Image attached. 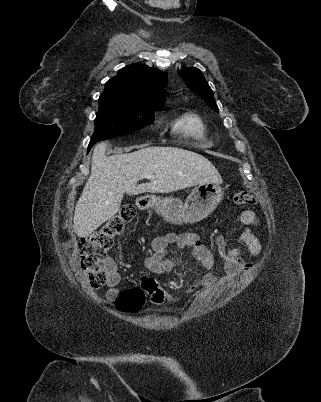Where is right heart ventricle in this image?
Returning <instances> with one entry per match:
<instances>
[{
    "mask_svg": "<svg viewBox=\"0 0 321 402\" xmlns=\"http://www.w3.org/2000/svg\"><path fill=\"white\" fill-rule=\"evenodd\" d=\"M172 131L174 134L191 139L203 146H210L209 129L202 116L193 110H187L178 115L172 121Z\"/></svg>",
    "mask_w": 321,
    "mask_h": 402,
    "instance_id": "right-heart-ventricle-1",
    "label": "right heart ventricle"
}]
</instances>
